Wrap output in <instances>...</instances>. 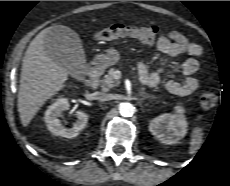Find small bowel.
<instances>
[{
    "label": "small bowel",
    "instance_id": "small-bowel-1",
    "mask_svg": "<svg viewBox=\"0 0 230 186\" xmlns=\"http://www.w3.org/2000/svg\"><path fill=\"white\" fill-rule=\"evenodd\" d=\"M156 48L165 55L170 62L180 54H188L189 58L177 62L176 65L185 77L180 80H169L165 88L178 96H188L198 88V80L195 73L199 68L198 58L201 57L203 50L200 45L191 42L186 36L178 31H170L167 35L161 36ZM164 69L157 72H149L145 63H139L138 73L143 84L149 87H157L161 83V74Z\"/></svg>",
    "mask_w": 230,
    "mask_h": 186
}]
</instances>
